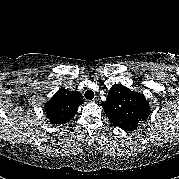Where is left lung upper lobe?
<instances>
[{
	"label": "left lung upper lobe",
	"instance_id": "obj_1",
	"mask_svg": "<svg viewBox=\"0 0 179 179\" xmlns=\"http://www.w3.org/2000/svg\"><path fill=\"white\" fill-rule=\"evenodd\" d=\"M102 107L110 122L124 131L136 129L139 123L147 120L151 112L143 94L121 84L111 87Z\"/></svg>",
	"mask_w": 179,
	"mask_h": 179
}]
</instances>
